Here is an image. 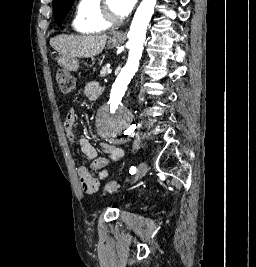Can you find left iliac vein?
Instances as JSON below:
<instances>
[{
	"label": "left iliac vein",
	"mask_w": 256,
	"mask_h": 267,
	"mask_svg": "<svg viewBox=\"0 0 256 267\" xmlns=\"http://www.w3.org/2000/svg\"><path fill=\"white\" fill-rule=\"evenodd\" d=\"M148 171L146 162H141L138 165L137 174L134 178V181H137L141 176L145 175Z\"/></svg>",
	"instance_id": "obj_1"
}]
</instances>
